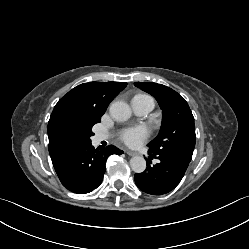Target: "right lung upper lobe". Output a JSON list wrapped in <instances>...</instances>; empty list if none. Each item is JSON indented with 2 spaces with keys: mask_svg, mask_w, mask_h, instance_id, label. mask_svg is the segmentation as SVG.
Here are the masks:
<instances>
[{
  "mask_svg": "<svg viewBox=\"0 0 249 249\" xmlns=\"http://www.w3.org/2000/svg\"><path fill=\"white\" fill-rule=\"evenodd\" d=\"M126 86L125 82L84 83L58 101L48 122L49 153L55 169L85 145L87 132Z\"/></svg>",
  "mask_w": 249,
  "mask_h": 249,
  "instance_id": "obj_1",
  "label": "right lung upper lobe"
}]
</instances>
